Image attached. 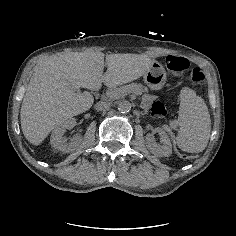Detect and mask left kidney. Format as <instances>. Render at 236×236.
Segmentation results:
<instances>
[{
    "mask_svg": "<svg viewBox=\"0 0 236 236\" xmlns=\"http://www.w3.org/2000/svg\"><path fill=\"white\" fill-rule=\"evenodd\" d=\"M154 131L161 137L162 145L155 142L152 134L146 135V146L152 154L157 157H168L172 154V145L166 132L161 128H155Z\"/></svg>",
    "mask_w": 236,
    "mask_h": 236,
    "instance_id": "left-kidney-1",
    "label": "left kidney"
}]
</instances>
